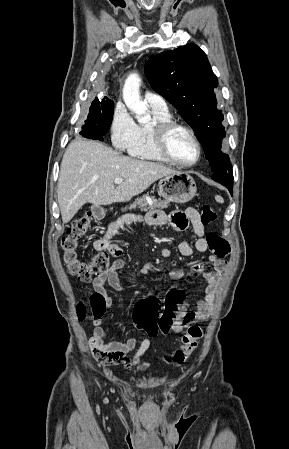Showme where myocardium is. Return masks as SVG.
<instances>
[{"label":"myocardium","mask_w":289,"mask_h":449,"mask_svg":"<svg viewBox=\"0 0 289 449\" xmlns=\"http://www.w3.org/2000/svg\"><path fill=\"white\" fill-rule=\"evenodd\" d=\"M154 142L158 152L169 162L181 166V167H192L196 165L202 157V145L195 134V132L185 124L177 122L175 120H162L156 121L151 127ZM175 130H183L186 132L190 138L193 140L197 147V158L191 163H184L177 160L171 153L169 148V137Z\"/></svg>","instance_id":"myocardium-1"}]
</instances>
